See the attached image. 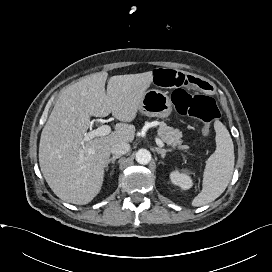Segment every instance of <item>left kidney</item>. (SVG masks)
<instances>
[{
    "label": "left kidney",
    "mask_w": 272,
    "mask_h": 272,
    "mask_svg": "<svg viewBox=\"0 0 272 272\" xmlns=\"http://www.w3.org/2000/svg\"><path fill=\"white\" fill-rule=\"evenodd\" d=\"M170 179L174 185L180 186L183 190H187L192 186V180L186 173L173 171L170 174Z\"/></svg>",
    "instance_id": "1"
}]
</instances>
